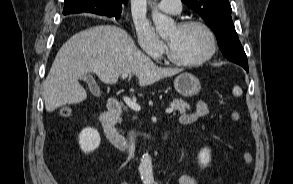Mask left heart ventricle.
<instances>
[{
  "mask_svg": "<svg viewBox=\"0 0 293 184\" xmlns=\"http://www.w3.org/2000/svg\"><path fill=\"white\" fill-rule=\"evenodd\" d=\"M167 42L176 57L182 60H196L209 49V38L199 27L173 28L167 35Z\"/></svg>",
  "mask_w": 293,
  "mask_h": 184,
  "instance_id": "left-heart-ventricle-1",
  "label": "left heart ventricle"
}]
</instances>
